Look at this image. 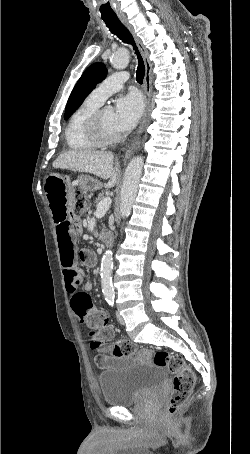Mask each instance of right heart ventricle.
I'll list each match as a JSON object with an SVG mask.
<instances>
[{"instance_id":"right-heart-ventricle-1","label":"right heart ventricle","mask_w":250,"mask_h":454,"mask_svg":"<svg viewBox=\"0 0 250 454\" xmlns=\"http://www.w3.org/2000/svg\"><path fill=\"white\" fill-rule=\"evenodd\" d=\"M100 106V104L87 98L73 112L65 129V140L70 150L89 151L98 147L88 135L87 121Z\"/></svg>"}]
</instances>
